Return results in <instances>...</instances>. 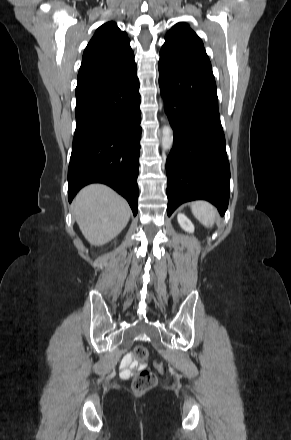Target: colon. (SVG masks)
I'll return each instance as SVG.
<instances>
[{
    "instance_id": "obj_1",
    "label": "colon",
    "mask_w": 291,
    "mask_h": 440,
    "mask_svg": "<svg viewBox=\"0 0 291 440\" xmlns=\"http://www.w3.org/2000/svg\"><path fill=\"white\" fill-rule=\"evenodd\" d=\"M134 354L135 357L142 362H146L149 358L148 350L141 345L136 346ZM156 384V375L152 371L142 370L135 375L132 389L137 394H144L151 390Z\"/></svg>"
}]
</instances>
